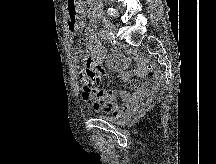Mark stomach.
Wrapping results in <instances>:
<instances>
[{
	"label": "stomach",
	"instance_id": "stomach-1",
	"mask_svg": "<svg viewBox=\"0 0 216 164\" xmlns=\"http://www.w3.org/2000/svg\"><path fill=\"white\" fill-rule=\"evenodd\" d=\"M67 14H80V9H67Z\"/></svg>",
	"mask_w": 216,
	"mask_h": 164
}]
</instances>
